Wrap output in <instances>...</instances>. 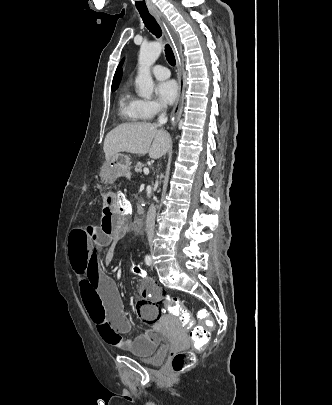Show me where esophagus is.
Returning <instances> with one entry per match:
<instances>
[{"label": "esophagus", "mask_w": 332, "mask_h": 405, "mask_svg": "<svg viewBox=\"0 0 332 405\" xmlns=\"http://www.w3.org/2000/svg\"><path fill=\"white\" fill-rule=\"evenodd\" d=\"M151 13L156 18L159 25L161 26L165 37L167 38V40L169 41L170 45L172 46V48L175 52V57H176L177 66H178V70H179V94H178L176 104H175L172 114H171V124L173 126H175L181 117L183 102H184V74H183L182 45L180 43V38H179L178 33L174 30L172 25L169 23L166 16L157 9L152 10Z\"/></svg>", "instance_id": "34e87169"}]
</instances>
